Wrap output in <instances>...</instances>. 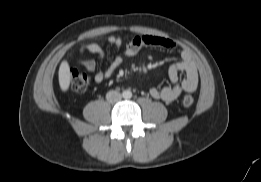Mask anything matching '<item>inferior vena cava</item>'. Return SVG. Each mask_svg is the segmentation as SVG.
Listing matches in <instances>:
<instances>
[{"label":"inferior vena cava","mask_w":261,"mask_h":182,"mask_svg":"<svg viewBox=\"0 0 261 182\" xmlns=\"http://www.w3.org/2000/svg\"><path fill=\"white\" fill-rule=\"evenodd\" d=\"M121 98H122V95L118 91L112 90L106 94V99L110 103H116V102L120 101Z\"/></svg>","instance_id":"602c4592"}]
</instances>
